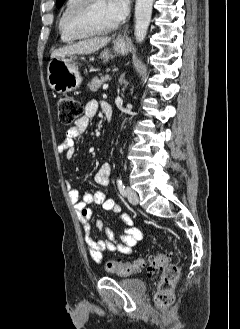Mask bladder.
<instances>
[{
  "label": "bladder",
  "instance_id": "obj_1",
  "mask_svg": "<svg viewBox=\"0 0 240 329\" xmlns=\"http://www.w3.org/2000/svg\"><path fill=\"white\" fill-rule=\"evenodd\" d=\"M116 280L124 288L132 290L136 293H143L146 290V284L141 279L122 277V278H117Z\"/></svg>",
  "mask_w": 240,
  "mask_h": 329
}]
</instances>
